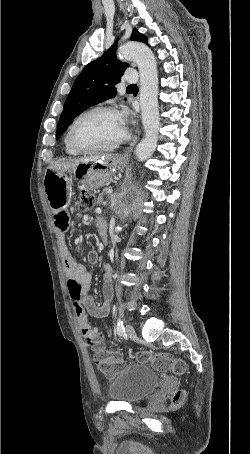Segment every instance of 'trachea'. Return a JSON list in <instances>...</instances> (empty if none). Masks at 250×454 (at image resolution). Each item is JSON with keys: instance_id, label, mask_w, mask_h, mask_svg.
I'll return each mask as SVG.
<instances>
[{"instance_id": "trachea-1", "label": "trachea", "mask_w": 250, "mask_h": 454, "mask_svg": "<svg viewBox=\"0 0 250 454\" xmlns=\"http://www.w3.org/2000/svg\"><path fill=\"white\" fill-rule=\"evenodd\" d=\"M132 87H136V85H130V86H128V88H132Z\"/></svg>"}]
</instances>
